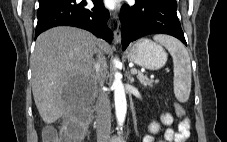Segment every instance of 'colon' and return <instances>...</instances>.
<instances>
[{
  "label": "colon",
  "instance_id": "colon-1",
  "mask_svg": "<svg viewBox=\"0 0 227 142\" xmlns=\"http://www.w3.org/2000/svg\"><path fill=\"white\" fill-rule=\"evenodd\" d=\"M177 115L185 118V111L180 105L176 106ZM88 122L86 115H79L61 130L47 126L42 131L43 142H81L84 128Z\"/></svg>",
  "mask_w": 227,
  "mask_h": 142
}]
</instances>
